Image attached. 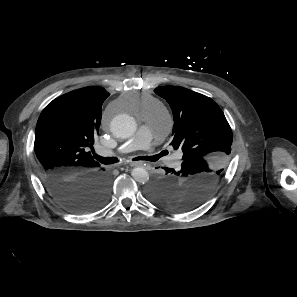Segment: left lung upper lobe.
I'll return each mask as SVG.
<instances>
[{
    "label": "left lung upper lobe",
    "mask_w": 297,
    "mask_h": 297,
    "mask_svg": "<svg viewBox=\"0 0 297 297\" xmlns=\"http://www.w3.org/2000/svg\"><path fill=\"white\" fill-rule=\"evenodd\" d=\"M173 112L170 145L183 152L178 174L152 184L148 197L169 210L188 211L202 204L224 176L232 144V130L220 107L209 97L177 86L158 87Z\"/></svg>",
    "instance_id": "obj_1"
}]
</instances>
